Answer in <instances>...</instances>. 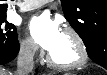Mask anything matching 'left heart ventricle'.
I'll return each instance as SVG.
<instances>
[{
  "mask_svg": "<svg viewBox=\"0 0 107 75\" xmlns=\"http://www.w3.org/2000/svg\"><path fill=\"white\" fill-rule=\"evenodd\" d=\"M50 54L57 63L61 64L72 63L79 57L74 40L65 33H62L57 46Z\"/></svg>",
  "mask_w": 107,
  "mask_h": 75,
  "instance_id": "obj_1",
  "label": "left heart ventricle"
}]
</instances>
